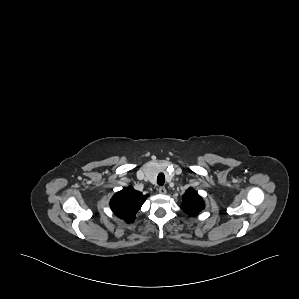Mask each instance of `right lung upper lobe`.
Instances as JSON below:
<instances>
[{"label":"right lung upper lobe","instance_id":"1","mask_svg":"<svg viewBox=\"0 0 299 299\" xmlns=\"http://www.w3.org/2000/svg\"><path fill=\"white\" fill-rule=\"evenodd\" d=\"M148 196L135 190L132 186L117 192L110 201V206L114 214L127 223H132L136 219V213Z\"/></svg>","mask_w":299,"mask_h":299}]
</instances>
